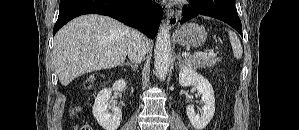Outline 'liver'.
I'll return each instance as SVG.
<instances>
[{"label": "liver", "instance_id": "1", "mask_svg": "<svg viewBox=\"0 0 299 130\" xmlns=\"http://www.w3.org/2000/svg\"><path fill=\"white\" fill-rule=\"evenodd\" d=\"M132 29L108 16L89 14L75 18L54 38L53 63L63 86L89 72L124 63ZM146 52L150 49L144 37Z\"/></svg>", "mask_w": 299, "mask_h": 130}]
</instances>
